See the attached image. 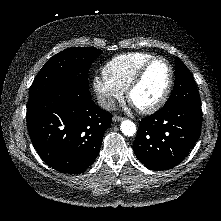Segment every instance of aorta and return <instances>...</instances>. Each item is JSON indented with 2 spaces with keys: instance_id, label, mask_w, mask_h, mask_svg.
<instances>
[{
  "instance_id": "aorta-1",
  "label": "aorta",
  "mask_w": 221,
  "mask_h": 221,
  "mask_svg": "<svg viewBox=\"0 0 221 221\" xmlns=\"http://www.w3.org/2000/svg\"><path fill=\"white\" fill-rule=\"evenodd\" d=\"M120 130L126 136H133L136 133V126L131 120H124L120 124Z\"/></svg>"
}]
</instances>
